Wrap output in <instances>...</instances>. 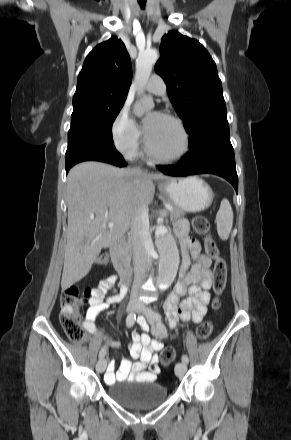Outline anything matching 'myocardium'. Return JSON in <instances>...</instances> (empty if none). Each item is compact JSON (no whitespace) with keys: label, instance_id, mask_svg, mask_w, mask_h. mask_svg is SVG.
<instances>
[{"label":"myocardium","instance_id":"f54148a6","mask_svg":"<svg viewBox=\"0 0 291 440\" xmlns=\"http://www.w3.org/2000/svg\"><path fill=\"white\" fill-rule=\"evenodd\" d=\"M162 116H164L165 118L171 120L173 123L176 124V126L178 127V129L180 130L182 136H183V149L180 152L179 155L174 156V157H165L160 155L150 144L147 135L145 136V148H146V152L149 155V157L157 162L160 163H167V164H171V163H176L179 162L180 160H182L184 157L187 156V154L189 153L190 150V135L189 132L185 126V124L183 123V121L172 114L169 113H163Z\"/></svg>","mask_w":291,"mask_h":440}]
</instances>
